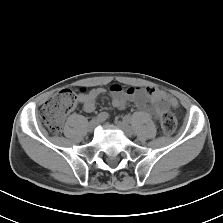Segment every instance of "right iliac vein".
Here are the masks:
<instances>
[{"instance_id":"obj_1","label":"right iliac vein","mask_w":223,"mask_h":223,"mask_svg":"<svg viewBox=\"0 0 223 223\" xmlns=\"http://www.w3.org/2000/svg\"><path fill=\"white\" fill-rule=\"evenodd\" d=\"M97 125H98V121L97 120L90 121L88 126H87L88 131L89 132H93Z\"/></svg>"}]
</instances>
